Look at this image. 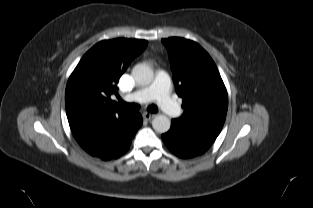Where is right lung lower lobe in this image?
I'll return each instance as SVG.
<instances>
[{
	"instance_id": "obj_1",
	"label": "right lung lower lobe",
	"mask_w": 313,
	"mask_h": 208,
	"mask_svg": "<svg viewBox=\"0 0 313 208\" xmlns=\"http://www.w3.org/2000/svg\"><path fill=\"white\" fill-rule=\"evenodd\" d=\"M69 125L76 141L87 153L111 160L127 152L142 125V118L139 113L130 112L126 116L71 120Z\"/></svg>"
}]
</instances>
